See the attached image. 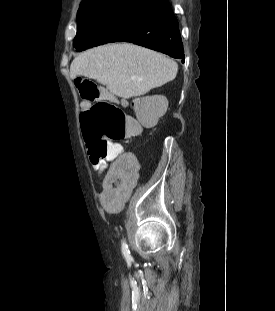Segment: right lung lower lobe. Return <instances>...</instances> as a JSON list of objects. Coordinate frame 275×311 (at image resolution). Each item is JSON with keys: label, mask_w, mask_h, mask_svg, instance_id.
I'll use <instances>...</instances> for the list:
<instances>
[{"label": "right lung lower lobe", "mask_w": 275, "mask_h": 311, "mask_svg": "<svg viewBox=\"0 0 275 311\" xmlns=\"http://www.w3.org/2000/svg\"><path fill=\"white\" fill-rule=\"evenodd\" d=\"M131 42L163 52L184 63L179 24L168 4L136 22L119 42Z\"/></svg>", "instance_id": "obj_1"}]
</instances>
